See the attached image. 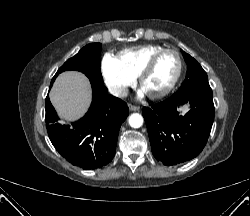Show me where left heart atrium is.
I'll list each match as a JSON object with an SVG mask.
<instances>
[{
	"label": "left heart atrium",
	"instance_id": "1",
	"mask_svg": "<svg viewBox=\"0 0 250 216\" xmlns=\"http://www.w3.org/2000/svg\"><path fill=\"white\" fill-rule=\"evenodd\" d=\"M145 94H146V93H145V91H144L143 89H141V90L139 91V93H138V95H139L140 97H143Z\"/></svg>",
	"mask_w": 250,
	"mask_h": 216
}]
</instances>
